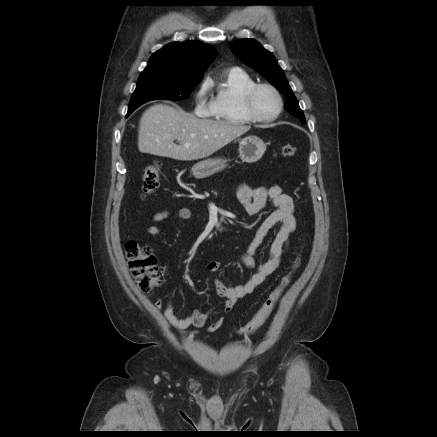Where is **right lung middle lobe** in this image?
<instances>
[{"label":"right lung middle lobe","instance_id":"1","mask_svg":"<svg viewBox=\"0 0 437 437\" xmlns=\"http://www.w3.org/2000/svg\"><path fill=\"white\" fill-rule=\"evenodd\" d=\"M202 80L181 78L164 71L142 72L132 94L127 116L145 102L185 99Z\"/></svg>","mask_w":437,"mask_h":437}]
</instances>
